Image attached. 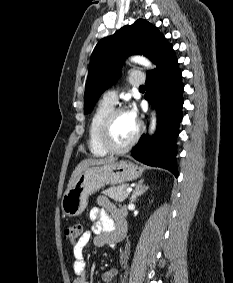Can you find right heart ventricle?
<instances>
[{
	"label": "right heart ventricle",
	"instance_id": "e07e8e85",
	"mask_svg": "<svg viewBox=\"0 0 233 283\" xmlns=\"http://www.w3.org/2000/svg\"><path fill=\"white\" fill-rule=\"evenodd\" d=\"M114 105L101 101L91 115L88 125L87 145L90 153L97 157H103L108 153L102 148L99 142V131L103 121Z\"/></svg>",
	"mask_w": 233,
	"mask_h": 283
}]
</instances>
